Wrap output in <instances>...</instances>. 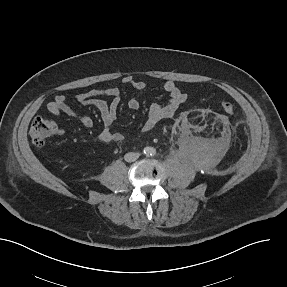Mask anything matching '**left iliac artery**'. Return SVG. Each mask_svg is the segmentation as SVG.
<instances>
[{"label": "left iliac artery", "instance_id": "1", "mask_svg": "<svg viewBox=\"0 0 287 287\" xmlns=\"http://www.w3.org/2000/svg\"><path fill=\"white\" fill-rule=\"evenodd\" d=\"M150 155L152 157L156 156V150L155 149H151Z\"/></svg>", "mask_w": 287, "mask_h": 287}]
</instances>
